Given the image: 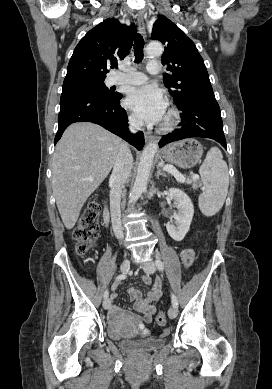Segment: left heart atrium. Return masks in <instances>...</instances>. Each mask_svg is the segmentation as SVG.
Instances as JSON below:
<instances>
[{"instance_id":"1","label":"left heart atrium","mask_w":272,"mask_h":389,"mask_svg":"<svg viewBox=\"0 0 272 389\" xmlns=\"http://www.w3.org/2000/svg\"><path fill=\"white\" fill-rule=\"evenodd\" d=\"M125 103L140 120L147 123L160 122L167 107L163 92L152 85L133 88Z\"/></svg>"}]
</instances>
